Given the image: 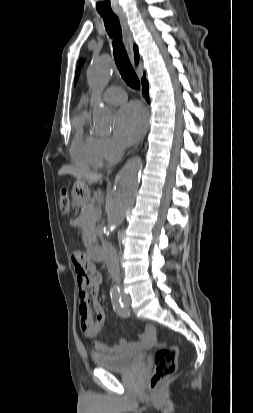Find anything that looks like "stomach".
<instances>
[{
	"mask_svg": "<svg viewBox=\"0 0 253 413\" xmlns=\"http://www.w3.org/2000/svg\"><path fill=\"white\" fill-rule=\"evenodd\" d=\"M72 198L79 205H85L90 200V190L79 181L75 182L72 189Z\"/></svg>",
	"mask_w": 253,
	"mask_h": 413,
	"instance_id": "stomach-1",
	"label": "stomach"
}]
</instances>
